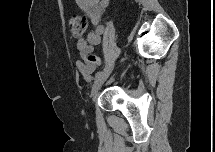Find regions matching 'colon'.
Returning <instances> with one entry per match:
<instances>
[{"label":"colon","instance_id":"5ec220e1","mask_svg":"<svg viewBox=\"0 0 215 152\" xmlns=\"http://www.w3.org/2000/svg\"><path fill=\"white\" fill-rule=\"evenodd\" d=\"M69 28L73 36L80 37L87 28L86 17L81 15H74L70 17ZM85 62L89 73L93 72L100 65L99 57L93 53H87L85 55Z\"/></svg>","mask_w":215,"mask_h":152}]
</instances>
